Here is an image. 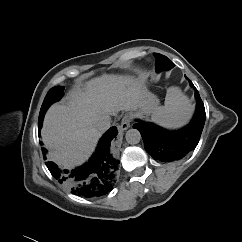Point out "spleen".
<instances>
[{"label":"spleen","mask_w":242,"mask_h":242,"mask_svg":"<svg viewBox=\"0 0 242 242\" xmlns=\"http://www.w3.org/2000/svg\"><path fill=\"white\" fill-rule=\"evenodd\" d=\"M191 106L189 100L176 87L167 91L164 106L156 107L152 112V119L167 128L183 126L189 119Z\"/></svg>","instance_id":"spleen-1"}]
</instances>
